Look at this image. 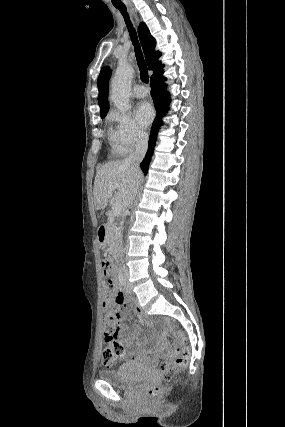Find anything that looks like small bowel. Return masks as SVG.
Returning a JSON list of instances; mask_svg holds the SVG:
<instances>
[{
  "label": "small bowel",
  "instance_id": "1",
  "mask_svg": "<svg viewBox=\"0 0 285 427\" xmlns=\"http://www.w3.org/2000/svg\"><path fill=\"white\" fill-rule=\"evenodd\" d=\"M118 301L120 303L121 310L116 316V324L119 328V334L123 338L126 345V352L121 355L118 361H134L140 364H147L149 362V356L157 353V350L140 347V341L136 339L139 332L137 320L133 321V329H130L125 324L126 317L128 316L129 303L127 302L122 292L118 293Z\"/></svg>",
  "mask_w": 285,
  "mask_h": 427
}]
</instances>
